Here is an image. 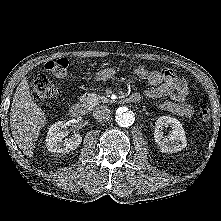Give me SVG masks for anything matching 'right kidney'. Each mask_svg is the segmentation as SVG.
I'll use <instances>...</instances> for the list:
<instances>
[{
  "label": "right kidney",
  "instance_id": "right-kidney-1",
  "mask_svg": "<svg viewBox=\"0 0 221 221\" xmlns=\"http://www.w3.org/2000/svg\"><path fill=\"white\" fill-rule=\"evenodd\" d=\"M69 122L57 121L48 130L46 137V147L51 153H68L78 148L82 142L79 134H74L65 138L64 129L67 128Z\"/></svg>",
  "mask_w": 221,
  "mask_h": 221
}]
</instances>
